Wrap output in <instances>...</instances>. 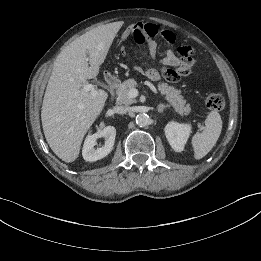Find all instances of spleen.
Instances as JSON below:
<instances>
[{
	"instance_id": "3e777b00",
	"label": "spleen",
	"mask_w": 261,
	"mask_h": 261,
	"mask_svg": "<svg viewBox=\"0 0 261 261\" xmlns=\"http://www.w3.org/2000/svg\"><path fill=\"white\" fill-rule=\"evenodd\" d=\"M221 130L222 120L220 114L211 111L205 119L204 130L192 137L195 159L199 160L211 151L221 134Z\"/></svg>"
}]
</instances>
